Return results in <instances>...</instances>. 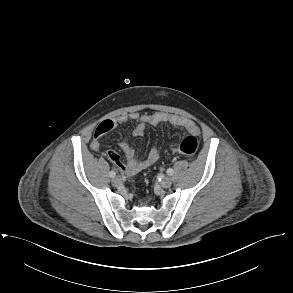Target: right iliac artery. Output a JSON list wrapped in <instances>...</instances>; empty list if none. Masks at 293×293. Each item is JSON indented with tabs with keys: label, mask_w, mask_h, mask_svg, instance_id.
Wrapping results in <instances>:
<instances>
[{
	"label": "right iliac artery",
	"mask_w": 293,
	"mask_h": 293,
	"mask_svg": "<svg viewBox=\"0 0 293 293\" xmlns=\"http://www.w3.org/2000/svg\"><path fill=\"white\" fill-rule=\"evenodd\" d=\"M109 176H110L111 178H114V177L116 176L115 171H110V172H109Z\"/></svg>",
	"instance_id": "obj_1"
}]
</instances>
